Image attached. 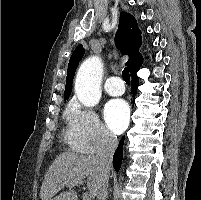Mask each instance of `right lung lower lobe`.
<instances>
[{
    "instance_id": "obj_1",
    "label": "right lung lower lobe",
    "mask_w": 201,
    "mask_h": 200,
    "mask_svg": "<svg viewBox=\"0 0 201 200\" xmlns=\"http://www.w3.org/2000/svg\"><path fill=\"white\" fill-rule=\"evenodd\" d=\"M132 92L135 95L137 88H138V83L139 79L138 76L135 73H132ZM123 144H124V137L121 138L118 148L115 151V154L113 156V167L118 172L121 167L122 159H123Z\"/></svg>"
}]
</instances>
